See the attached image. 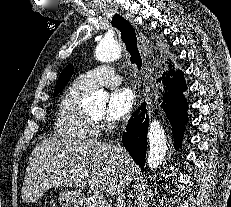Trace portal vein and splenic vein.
Segmentation results:
<instances>
[{
    "instance_id": "1",
    "label": "portal vein and splenic vein",
    "mask_w": 231,
    "mask_h": 207,
    "mask_svg": "<svg viewBox=\"0 0 231 207\" xmlns=\"http://www.w3.org/2000/svg\"><path fill=\"white\" fill-rule=\"evenodd\" d=\"M94 197H95L98 201L104 203L105 198H104L103 194H100L99 192H97V193L94 195ZM104 204H105V203H104ZM105 207H107V206H105Z\"/></svg>"
}]
</instances>
